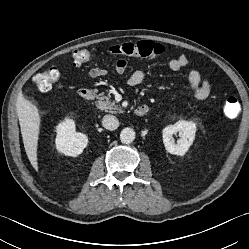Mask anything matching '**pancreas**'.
<instances>
[{"label":"pancreas","mask_w":249,"mask_h":249,"mask_svg":"<svg viewBox=\"0 0 249 249\" xmlns=\"http://www.w3.org/2000/svg\"><path fill=\"white\" fill-rule=\"evenodd\" d=\"M97 99L96 106L100 110H104L113 114L122 112L119 106L116 105V102L111 100V95H104V93H100L97 95Z\"/></svg>","instance_id":"1"}]
</instances>
